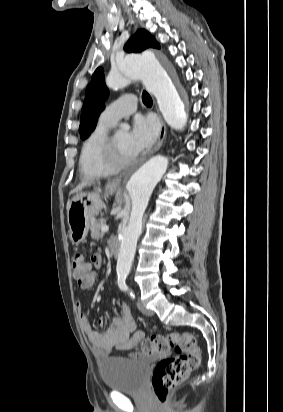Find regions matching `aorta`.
Returning <instances> with one entry per match:
<instances>
[{
	"instance_id": "aorta-1",
	"label": "aorta",
	"mask_w": 283,
	"mask_h": 412,
	"mask_svg": "<svg viewBox=\"0 0 283 412\" xmlns=\"http://www.w3.org/2000/svg\"><path fill=\"white\" fill-rule=\"evenodd\" d=\"M137 80H141L146 89L155 96L167 124L174 129H182L187 121L184 103L166 67L154 52L146 51L140 55L126 56L117 70L108 75L106 85L118 89ZM167 166L168 158L157 155L126 178L125 189L131 197V213L120 236L121 246L116 266L119 276H126L131 270L137 240L142 232L144 212Z\"/></svg>"
}]
</instances>
